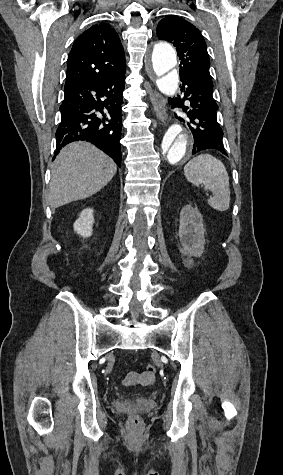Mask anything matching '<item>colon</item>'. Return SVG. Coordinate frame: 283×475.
Wrapping results in <instances>:
<instances>
[{
  "mask_svg": "<svg viewBox=\"0 0 283 475\" xmlns=\"http://www.w3.org/2000/svg\"><path fill=\"white\" fill-rule=\"evenodd\" d=\"M156 371H157L156 366L153 365V364H149V365H147V367H146V372H145L144 375H145V377H147V378H153V376H155ZM131 422L134 423V424H137V423H138V418H137V417L133 418V419L131 420Z\"/></svg>",
  "mask_w": 283,
  "mask_h": 475,
  "instance_id": "1",
  "label": "colon"
}]
</instances>
